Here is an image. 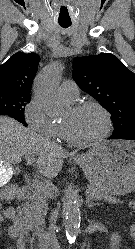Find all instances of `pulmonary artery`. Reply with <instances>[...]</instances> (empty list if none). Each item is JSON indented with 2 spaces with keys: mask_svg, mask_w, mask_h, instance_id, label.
Returning a JSON list of instances; mask_svg holds the SVG:
<instances>
[{
  "mask_svg": "<svg viewBox=\"0 0 135 249\" xmlns=\"http://www.w3.org/2000/svg\"><path fill=\"white\" fill-rule=\"evenodd\" d=\"M62 96L70 101H76L79 97V88L73 80H65L60 85Z\"/></svg>",
  "mask_w": 135,
  "mask_h": 249,
  "instance_id": "obj_1",
  "label": "pulmonary artery"
}]
</instances>
